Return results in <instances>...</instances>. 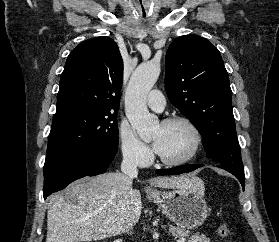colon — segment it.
<instances>
[{"mask_svg": "<svg viewBox=\"0 0 279 242\" xmlns=\"http://www.w3.org/2000/svg\"><path fill=\"white\" fill-rule=\"evenodd\" d=\"M218 234L222 238L228 239L232 236V231L227 224L223 223L218 227Z\"/></svg>", "mask_w": 279, "mask_h": 242, "instance_id": "5ec220e1", "label": "colon"}]
</instances>
